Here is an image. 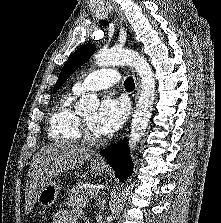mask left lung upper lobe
I'll return each mask as SVG.
<instances>
[{
    "mask_svg": "<svg viewBox=\"0 0 221 223\" xmlns=\"http://www.w3.org/2000/svg\"><path fill=\"white\" fill-rule=\"evenodd\" d=\"M96 46L94 44H87L80 47L73 55L67 60L62 68L58 80L53 88V93L62 86L67 78L82 64H84L94 53Z\"/></svg>",
    "mask_w": 221,
    "mask_h": 223,
    "instance_id": "obj_1",
    "label": "left lung upper lobe"
}]
</instances>
